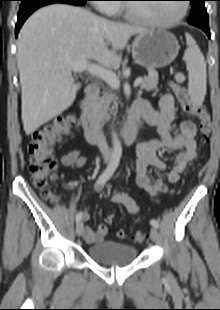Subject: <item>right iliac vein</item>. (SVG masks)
<instances>
[{"mask_svg":"<svg viewBox=\"0 0 220 310\" xmlns=\"http://www.w3.org/2000/svg\"><path fill=\"white\" fill-rule=\"evenodd\" d=\"M107 161V159H106ZM84 231V223L82 221H79L76 225V234L77 236H81Z\"/></svg>","mask_w":220,"mask_h":310,"instance_id":"obj_1","label":"right iliac vein"}]
</instances>
